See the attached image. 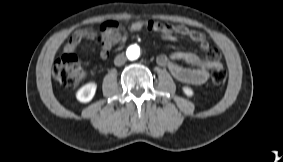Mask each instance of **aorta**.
<instances>
[{
	"mask_svg": "<svg viewBox=\"0 0 283 162\" xmlns=\"http://www.w3.org/2000/svg\"><path fill=\"white\" fill-rule=\"evenodd\" d=\"M139 55H140V49L138 46L133 45L127 49V56L129 59L135 60L139 57Z\"/></svg>",
	"mask_w": 283,
	"mask_h": 162,
	"instance_id": "762f6f07",
	"label": "aorta"
}]
</instances>
